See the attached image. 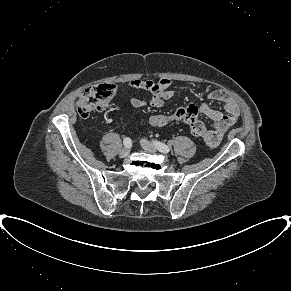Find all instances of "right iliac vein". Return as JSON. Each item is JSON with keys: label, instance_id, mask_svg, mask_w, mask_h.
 Instances as JSON below:
<instances>
[{"label": "right iliac vein", "instance_id": "obj_1", "mask_svg": "<svg viewBox=\"0 0 291 291\" xmlns=\"http://www.w3.org/2000/svg\"><path fill=\"white\" fill-rule=\"evenodd\" d=\"M129 153H130V149L129 148H127V147L122 148L120 150V152H119V157L125 158V157H127L129 155Z\"/></svg>", "mask_w": 291, "mask_h": 291}]
</instances>
